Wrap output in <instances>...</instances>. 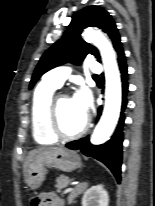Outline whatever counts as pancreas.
<instances>
[{
  "label": "pancreas",
  "instance_id": "pancreas-1",
  "mask_svg": "<svg viewBox=\"0 0 155 206\" xmlns=\"http://www.w3.org/2000/svg\"><path fill=\"white\" fill-rule=\"evenodd\" d=\"M71 181H72V180L69 179V177H67V176H65V175H60V176L56 179V185H55V187H56L58 190H61V189H63V188H66Z\"/></svg>",
  "mask_w": 155,
  "mask_h": 206
}]
</instances>
